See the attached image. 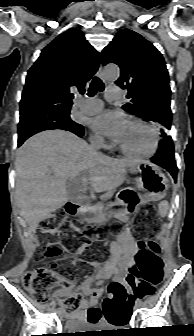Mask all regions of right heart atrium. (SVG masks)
<instances>
[{"instance_id":"1","label":"right heart atrium","mask_w":194,"mask_h":336,"mask_svg":"<svg viewBox=\"0 0 194 336\" xmlns=\"http://www.w3.org/2000/svg\"><path fill=\"white\" fill-rule=\"evenodd\" d=\"M92 144L101 147V148H107L108 145L105 143V141L98 135H92L90 138Z\"/></svg>"}]
</instances>
